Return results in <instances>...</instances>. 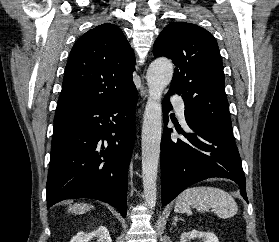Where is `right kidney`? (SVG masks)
Instances as JSON below:
<instances>
[{"label":"right kidney","instance_id":"1","mask_svg":"<svg viewBox=\"0 0 279 242\" xmlns=\"http://www.w3.org/2000/svg\"><path fill=\"white\" fill-rule=\"evenodd\" d=\"M94 238L97 239V242H112L109 231L104 226H99L96 230L89 233L79 232L70 242H90Z\"/></svg>","mask_w":279,"mask_h":242}]
</instances>
